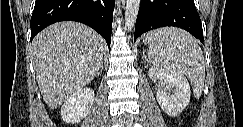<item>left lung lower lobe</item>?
Instances as JSON below:
<instances>
[{"instance_id": "1", "label": "left lung lower lobe", "mask_w": 243, "mask_h": 127, "mask_svg": "<svg viewBox=\"0 0 243 127\" xmlns=\"http://www.w3.org/2000/svg\"><path fill=\"white\" fill-rule=\"evenodd\" d=\"M165 26L180 27L204 42L202 24L194 0H141L134 42L141 34Z\"/></svg>"}]
</instances>
